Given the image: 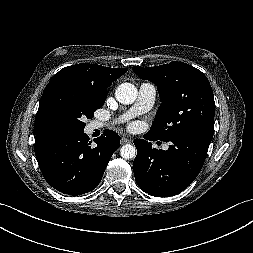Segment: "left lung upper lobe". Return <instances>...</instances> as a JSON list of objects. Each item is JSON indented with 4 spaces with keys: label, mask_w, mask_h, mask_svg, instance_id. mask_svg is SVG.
<instances>
[{
    "label": "left lung upper lobe",
    "mask_w": 253,
    "mask_h": 253,
    "mask_svg": "<svg viewBox=\"0 0 253 253\" xmlns=\"http://www.w3.org/2000/svg\"><path fill=\"white\" fill-rule=\"evenodd\" d=\"M142 79L157 85L162 104L148 134L168 141L178 136L205 133L213 136L215 102L207 77L183 62L155 67H133Z\"/></svg>",
    "instance_id": "5c2ea615"
}]
</instances>
